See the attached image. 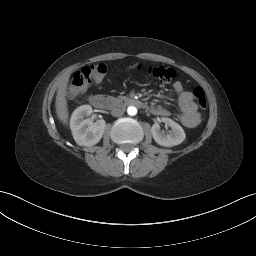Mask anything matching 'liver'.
I'll use <instances>...</instances> for the list:
<instances>
[{"mask_svg":"<svg viewBox=\"0 0 256 256\" xmlns=\"http://www.w3.org/2000/svg\"><path fill=\"white\" fill-rule=\"evenodd\" d=\"M69 78H70V73H67L61 79L58 90H57L56 102H55L57 117L63 124H67L68 118H69L67 99H66Z\"/></svg>","mask_w":256,"mask_h":256,"instance_id":"obj_1","label":"liver"}]
</instances>
